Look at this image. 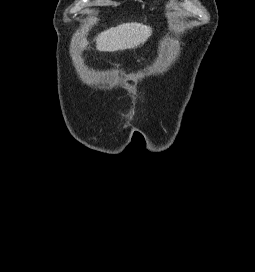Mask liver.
Wrapping results in <instances>:
<instances>
[{
  "mask_svg": "<svg viewBox=\"0 0 255 272\" xmlns=\"http://www.w3.org/2000/svg\"><path fill=\"white\" fill-rule=\"evenodd\" d=\"M152 34L149 26L140 23H124L101 32L96 37V49L115 52L137 47L145 43ZM87 43L84 42L83 45Z\"/></svg>",
  "mask_w": 255,
  "mask_h": 272,
  "instance_id": "obj_1",
  "label": "liver"
}]
</instances>
